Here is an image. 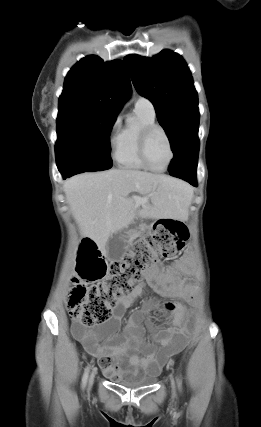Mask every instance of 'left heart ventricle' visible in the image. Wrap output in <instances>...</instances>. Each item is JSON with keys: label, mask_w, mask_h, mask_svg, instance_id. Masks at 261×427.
Listing matches in <instances>:
<instances>
[{"label": "left heart ventricle", "mask_w": 261, "mask_h": 427, "mask_svg": "<svg viewBox=\"0 0 261 427\" xmlns=\"http://www.w3.org/2000/svg\"><path fill=\"white\" fill-rule=\"evenodd\" d=\"M147 155L149 162L155 168H163L170 157L168 143L161 132H155L148 143Z\"/></svg>", "instance_id": "1"}]
</instances>
